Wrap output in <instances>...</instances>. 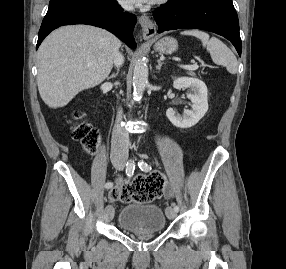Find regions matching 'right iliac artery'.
Here are the masks:
<instances>
[{
  "label": "right iliac artery",
  "instance_id": "obj_1",
  "mask_svg": "<svg viewBox=\"0 0 286 269\" xmlns=\"http://www.w3.org/2000/svg\"><path fill=\"white\" fill-rule=\"evenodd\" d=\"M135 170V163L133 160H129L126 164V174L128 177H131L134 173ZM106 188H111L112 187V183L111 182H107L105 184Z\"/></svg>",
  "mask_w": 286,
  "mask_h": 269
}]
</instances>
